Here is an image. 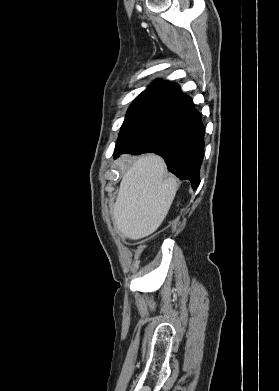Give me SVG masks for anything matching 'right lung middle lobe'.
<instances>
[{"label":"right lung middle lobe","instance_id":"obj_1","mask_svg":"<svg viewBox=\"0 0 279 391\" xmlns=\"http://www.w3.org/2000/svg\"><path fill=\"white\" fill-rule=\"evenodd\" d=\"M162 109H129L122 124L115 150L124 146L143 132Z\"/></svg>","mask_w":279,"mask_h":391}]
</instances>
